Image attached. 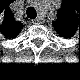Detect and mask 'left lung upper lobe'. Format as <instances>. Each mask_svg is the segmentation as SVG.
<instances>
[{
    "mask_svg": "<svg viewBox=\"0 0 80 80\" xmlns=\"http://www.w3.org/2000/svg\"><path fill=\"white\" fill-rule=\"evenodd\" d=\"M54 27L65 37L71 36L75 31V24L72 19L71 10L65 4L61 7L58 13V19L54 23Z\"/></svg>",
    "mask_w": 80,
    "mask_h": 80,
    "instance_id": "5c2ea615",
    "label": "left lung upper lobe"
}]
</instances>
